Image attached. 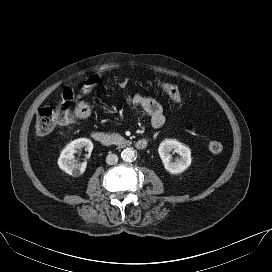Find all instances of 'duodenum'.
I'll return each instance as SVG.
<instances>
[{
  "label": "duodenum",
  "instance_id": "410a0bca",
  "mask_svg": "<svg viewBox=\"0 0 272 272\" xmlns=\"http://www.w3.org/2000/svg\"><path fill=\"white\" fill-rule=\"evenodd\" d=\"M92 137L97 143H99L102 146L109 147L113 144L112 137L104 131L95 130L92 133ZM148 145L149 140L147 138H141L135 142V146L138 150H144L148 147Z\"/></svg>",
  "mask_w": 272,
  "mask_h": 272
}]
</instances>
